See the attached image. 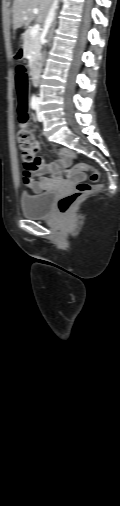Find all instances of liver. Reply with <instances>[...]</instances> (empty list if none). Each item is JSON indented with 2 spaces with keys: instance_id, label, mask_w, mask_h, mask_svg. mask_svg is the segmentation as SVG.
I'll return each mask as SVG.
<instances>
[{
  "instance_id": "obj_1",
  "label": "liver",
  "mask_w": 120,
  "mask_h": 506,
  "mask_svg": "<svg viewBox=\"0 0 120 506\" xmlns=\"http://www.w3.org/2000/svg\"><path fill=\"white\" fill-rule=\"evenodd\" d=\"M53 0H14L13 3V29L28 27L36 18L37 21L44 22L52 6ZM39 10L38 14L33 13V9Z\"/></svg>"
}]
</instances>
